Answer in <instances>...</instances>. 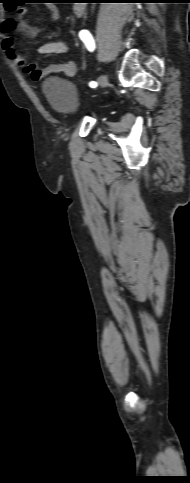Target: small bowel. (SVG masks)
Instances as JSON below:
<instances>
[{"label": "small bowel", "mask_w": 190, "mask_h": 483, "mask_svg": "<svg viewBox=\"0 0 190 483\" xmlns=\"http://www.w3.org/2000/svg\"><path fill=\"white\" fill-rule=\"evenodd\" d=\"M49 10L52 19H58L59 11L57 7L51 5L49 7ZM25 12L26 11L24 8H20L18 9L15 17H8L2 22L1 40L3 50L7 57L12 61L15 66L21 68L35 82L42 80L47 75L57 72L63 73V75L67 78L74 77L77 72V66L73 61L55 62L42 69L37 62L26 64L25 60L16 53L15 41L13 36L11 35L13 31L18 30L29 38H35L42 31L48 28V25L41 28L29 25L24 18ZM68 51L69 46L64 41H49L43 43L37 49V52L40 55L66 54L68 53Z\"/></svg>", "instance_id": "1"}]
</instances>
